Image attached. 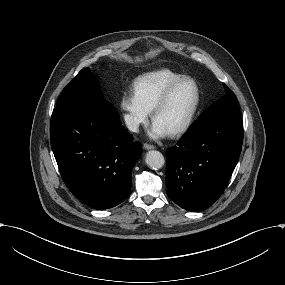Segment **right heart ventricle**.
I'll list each match as a JSON object with an SVG mask.
<instances>
[{
	"label": "right heart ventricle",
	"mask_w": 285,
	"mask_h": 285,
	"mask_svg": "<svg viewBox=\"0 0 285 285\" xmlns=\"http://www.w3.org/2000/svg\"><path fill=\"white\" fill-rule=\"evenodd\" d=\"M182 74L168 69L147 73L137 80L135 90L144 105L152 111L166 89L183 78Z\"/></svg>",
	"instance_id": "right-heart-ventricle-1"
}]
</instances>
